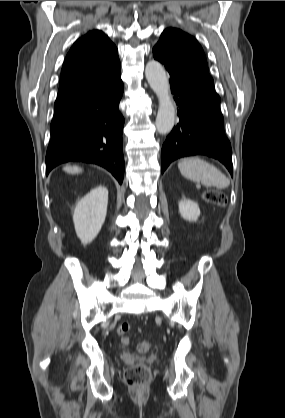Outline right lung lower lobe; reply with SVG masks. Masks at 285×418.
<instances>
[{
	"label": "right lung lower lobe",
	"mask_w": 285,
	"mask_h": 418,
	"mask_svg": "<svg viewBox=\"0 0 285 418\" xmlns=\"http://www.w3.org/2000/svg\"><path fill=\"white\" fill-rule=\"evenodd\" d=\"M123 90L120 74L95 91L54 109L46 174L61 163L79 161L106 168L122 183L124 118L118 106Z\"/></svg>",
	"instance_id": "98d812e1"
}]
</instances>
